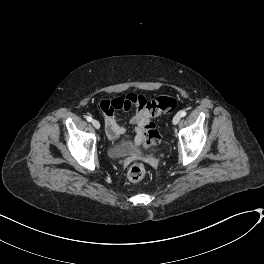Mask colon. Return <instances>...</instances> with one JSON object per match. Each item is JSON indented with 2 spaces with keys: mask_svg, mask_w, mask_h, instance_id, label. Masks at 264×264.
Masks as SVG:
<instances>
[{
  "mask_svg": "<svg viewBox=\"0 0 264 264\" xmlns=\"http://www.w3.org/2000/svg\"><path fill=\"white\" fill-rule=\"evenodd\" d=\"M177 106V101L173 97L159 96L145 105L144 119L142 122V138L146 148L154 147L160 142V134L156 129L154 119L162 113L171 112ZM146 174L143 163L135 162L128 170V179L131 182L140 181Z\"/></svg>",
  "mask_w": 264,
  "mask_h": 264,
  "instance_id": "1",
  "label": "colon"
}]
</instances>
